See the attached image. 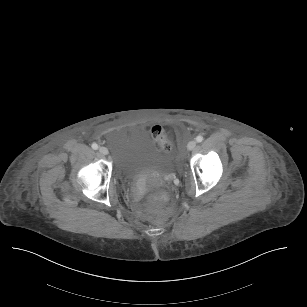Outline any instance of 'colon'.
Returning a JSON list of instances; mask_svg holds the SVG:
<instances>
[{
	"label": "colon",
	"instance_id": "1",
	"mask_svg": "<svg viewBox=\"0 0 307 307\" xmlns=\"http://www.w3.org/2000/svg\"><path fill=\"white\" fill-rule=\"evenodd\" d=\"M152 134L164 151H169L172 149L173 145L164 134L161 126H153ZM146 201L150 205L165 206L169 202V194L165 190H150L146 194Z\"/></svg>",
	"mask_w": 307,
	"mask_h": 307
}]
</instances>
